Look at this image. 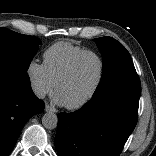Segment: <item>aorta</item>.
<instances>
[{
	"label": "aorta",
	"instance_id": "1",
	"mask_svg": "<svg viewBox=\"0 0 156 156\" xmlns=\"http://www.w3.org/2000/svg\"><path fill=\"white\" fill-rule=\"evenodd\" d=\"M42 124L46 129L52 130L57 127L58 117L53 112H47L42 117Z\"/></svg>",
	"mask_w": 156,
	"mask_h": 156
}]
</instances>
